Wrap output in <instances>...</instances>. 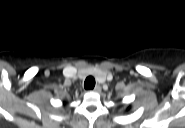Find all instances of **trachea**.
Segmentation results:
<instances>
[{
	"label": "trachea",
	"mask_w": 185,
	"mask_h": 128,
	"mask_svg": "<svg viewBox=\"0 0 185 128\" xmlns=\"http://www.w3.org/2000/svg\"><path fill=\"white\" fill-rule=\"evenodd\" d=\"M95 87V79L93 76H89L86 78L84 82L85 89H93Z\"/></svg>",
	"instance_id": "obj_1"
}]
</instances>
